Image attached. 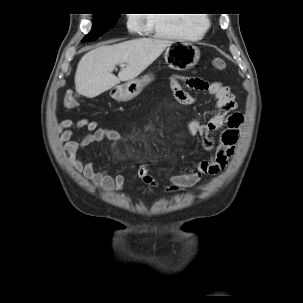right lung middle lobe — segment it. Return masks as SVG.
Listing matches in <instances>:
<instances>
[{"instance_id":"1","label":"right lung middle lobe","mask_w":303,"mask_h":303,"mask_svg":"<svg viewBox=\"0 0 303 303\" xmlns=\"http://www.w3.org/2000/svg\"><path fill=\"white\" fill-rule=\"evenodd\" d=\"M120 14H94V23L91 32L82 40L90 41L96 39L98 36L108 31L116 25Z\"/></svg>"}]
</instances>
